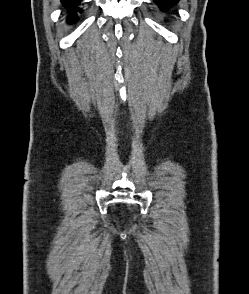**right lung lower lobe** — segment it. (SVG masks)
<instances>
[{
	"mask_svg": "<svg viewBox=\"0 0 249 294\" xmlns=\"http://www.w3.org/2000/svg\"><path fill=\"white\" fill-rule=\"evenodd\" d=\"M61 1L65 6H67L70 9L69 11L70 16L68 18V22L70 23L75 22L78 19L77 12H81V9L78 8L77 6L80 4L82 0H61Z\"/></svg>",
	"mask_w": 249,
	"mask_h": 294,
	"instance_id": "98d812e1",
	"label": "right lung lower lobe"
}]
</instances>
